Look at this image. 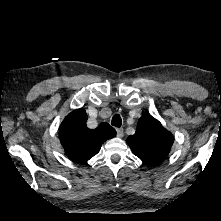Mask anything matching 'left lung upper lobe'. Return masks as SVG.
Masks as SVG:
<instances>
[{
    "label": "left lung upper lobe",
    "mask_w": 221,
    "mask_h": 221,
    "mask_svg": "<svg viewBox=\"0 0 221 221\" xmlns=\"http://www.w3.org/2000/svg\"><path fill=\"white\" fill-rule=\"evenodd\" d=\"M134 155L148 165H156L168 155L173 135L151 115L144 114L138 120L137 130L127 139Z\"/></svg>",
    "instance_id": "5c2ea615"
}]
</instances>
